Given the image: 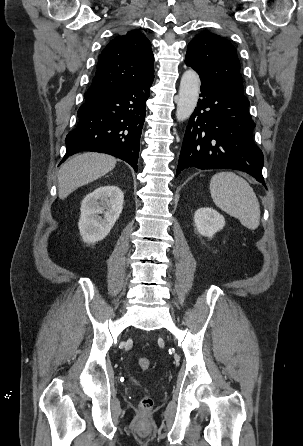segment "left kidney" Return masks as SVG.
I'll list each match as a JSON object with an SVG mask.
<instances>
[{"label": "left kidney", "instance_id": "left-kidney-1", "mask_svg": "<svg viewBox=\"0 0 303 446\" xmlns=\"http://www.w3.org/2000/svg\"><path fill=\"white\" fill-rule=\"evenodd\" d=\"M194 224L199 234L212 238L225 226V219L213 208L204 207L196 210Z\"/></svg>", "mask_w": 303, "mask_h": 446}]
</instances>
